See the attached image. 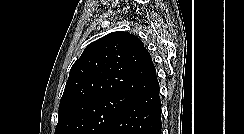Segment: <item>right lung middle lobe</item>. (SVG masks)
Listing matches in <instances>:
<instances>
[{"mask_svg":"<svg viewBox=\"0 0 244 134\" xmlns=\"http://www.w3.org/2000/svg\"><path fill=\"white\" fill-rule=\"evenodd\" d=\"M129 101L126 97L112 96L83 104L58 120L55 134H101Z\"/></svg>","mask_w":244,"mask_h":134,"instance_id":"obj_1","label":"right lung middle lobe"}]
</instances>
